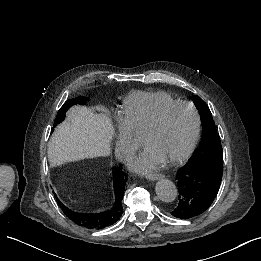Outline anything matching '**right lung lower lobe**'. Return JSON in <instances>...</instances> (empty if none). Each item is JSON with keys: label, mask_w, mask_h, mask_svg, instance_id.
I'll return each instance as SVG.
<instances>
[{"label": "right lung lower lobe", "mask_w": 261, "mask_h": 261, "mask_svg": "<svg viewBox=\"0 0 261 261\" xmlns=\"http://www.w3.org/2000/svg\"><path fill=\"white\" fill-rule=\"evenodd\" d=\"M113 186H114V193H115V205L110 208L109 210L101 213H94V214H86L75 212L65 205H63L58 199V203L63 210L64 214L75 224L85 227L87 229H96L100 230L105 227L111 226L112 224L116 223L122 213V199L124 195L126 181L128 176L126 173L122 172V170L118 167H113Z\"/></svg>", "instance_id": "right-lung-lower-lobe-1"}]
</instances>
